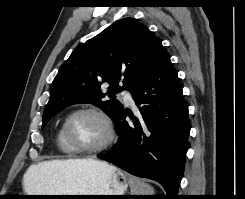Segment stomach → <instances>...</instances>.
<instances>
[{
  "instance_id": "1",
  "label": "stomach",
  "mask_w": 245,
  "mask_h": 199,
  "mask_svg": "<svg viewBox=\"0 0 245 199\" xmlns=\"http://www.w3.org/2000/svg\"><path fill=\"white\" fill-rule=\"evenodd\" d=\"M65 193L47 195H124L128 176L115 166L95 160L79 168L75 173L62 177ZM31 195V194H28ZM113 196L41 197L38 199H96Z\"/></svg>"
}]
</instances>
